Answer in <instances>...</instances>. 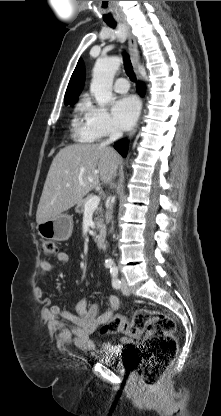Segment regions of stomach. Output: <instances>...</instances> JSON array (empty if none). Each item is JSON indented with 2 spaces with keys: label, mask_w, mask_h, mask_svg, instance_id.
I'll return each instance as SVG.
<instances>
[{
  "label": "stomach",
  "mask_w": 221,
  "mask_h": 416,
  "mask_svg": "<svg viewBox=\"0 0 221 416\" xmlns=\"http://www.w3.org/2000/svg\"><path fill=\"white\" fill-rule=\"evenodd\" d=\"M38 234L48 240L66 241L73 231V219L70 215L60 214L57 217L37 225Z\"/></svg>",
  "instance_id": "stomach-1"
}]
</instances>
